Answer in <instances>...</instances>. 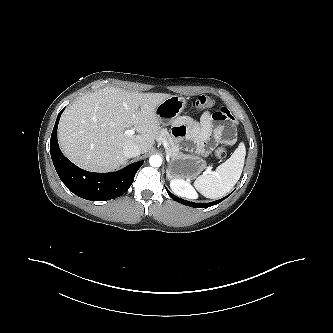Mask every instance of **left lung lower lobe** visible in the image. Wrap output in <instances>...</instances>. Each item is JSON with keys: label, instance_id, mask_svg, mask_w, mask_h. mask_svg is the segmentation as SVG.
Instances as JSON below:
<instances>
[{"label": "left lung lower lobe", "instance_id": "obj_1", "mask_svg": "<svg viewBox=\"0 0 333 333\" xmlns=\"http://www.w3.org/2000/svg\"><path fill=\"white\" fill-rule=\"evenodd\" d=\"M166 190H167V193L169 194V196L172 199H174L175 201H177L181 204H184V205H187V206H190V207H196V208L210 207V206L216 205V204L220 203L221 201H223L224 199H226L230 195L229 194L226 197H224L222 199H219V200H216L214 202L200 204V203H194V202H190V201H187V200H183V199L173 195L167 188H166Z\"/></svg>", "mask_w": 333, "mask_h": 333}]
</instances>
